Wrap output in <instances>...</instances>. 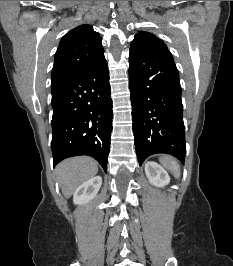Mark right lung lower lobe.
I'll return each mask as SVG.
<instances>
[{
    "instance_id": "1",
    "label": "right lung lower lobe",
    "mask_w": 233,
    "mask_h": 266,
    "mask_svg": "<svg viewBox=\"0 0 233 266\" xmlns=\"http://www.w3.org/2000/svg\"><path fill=\"white\" fill-rule=\"evenodd\" d=\"M51 90L53 165L68 157L88 155L107 172L113 112L105 57Z\"/></svg>"
}]
</instances>
